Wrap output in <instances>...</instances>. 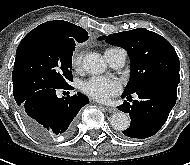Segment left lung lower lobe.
Here are the masks:
<instances>
[{"instance_id": "left-lung-lower-lobe-1", "label": "left lung lower lobe", "mask_w": 190, "mask_h": 165, "mask_svg": "<svg viewBox=\"0 0 190 165\" xmlns=\"http://www.w3.org/2000/svg\"><path fill=\"white\" fill-rule=\"evenodd\" d=\"M177 82L158 80L150 82L134 93L138 100L125 101L118 109L130 114V127L123 134L131 138H148L156 134L166 122L176 103ZM131 94H123L122 98Z\"/></svg>"}]
</instances>
